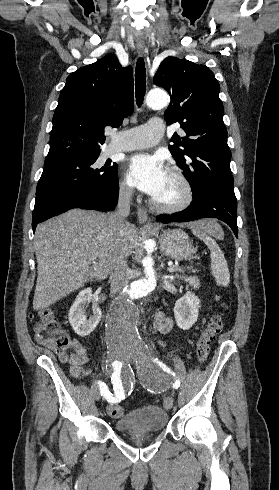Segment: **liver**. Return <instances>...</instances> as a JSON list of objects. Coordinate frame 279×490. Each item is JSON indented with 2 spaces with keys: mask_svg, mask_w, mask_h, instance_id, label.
Returning a JSON list of instances; mask_svg holds the SVG:
<instances>
[{
  "mask_svg": "<svg viewBox=\"0 0 279 490\" xmlns=\"http://www.w3.org/2000/svg\"><path fill=\"white\" fill-rule=\"evenodd\" d=\"M109 214L93 210H69L38 224L35 232L37 282L34 310L48 308L85 282L105 280L114 262L131 256L136 242L134 228L129 236L108 226ZM198 222L184 224L190 230Z\"/></svg>",
  "mask_w": 279,
  "mask_h": 490,
  "instance_id": "1",
  "label": "liver"
}]
</instances>
